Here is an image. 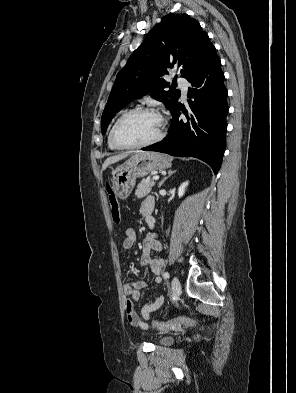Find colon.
<instances>
[{
    "mask_svg": "<svg viewBox=\"0 0 296 393\" xmlns=\"http://www.w3.org/2000/svg\"><path fill=\"white\" fill-rule=\"evenodd\" d=\"M106 188L108 191V200L110 204L111 217L113 222L118 224L120 223L121 220L119 204L112 190V187L110 185H107ZM196 324L197 322L195 320L187 319V318H176L168 322H153V325L161 331L172 330L181 326H194Z\"/></svg>",
    "mask_w": 296,
    "mask_h": 393,
    "instance_id": "obj_1",
    "label": "colon"
}]
</instances>
